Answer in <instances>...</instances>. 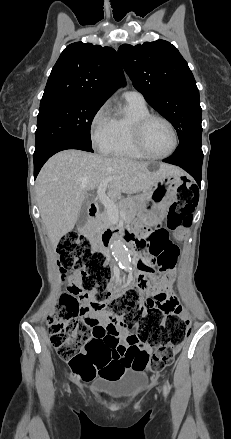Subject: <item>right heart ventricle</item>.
Wrapping results in <instances>:
<instances>
[{
    "label": "right heart ventricle",
    "mask_w": 231,
    "mask_h": 439,
    "mask_svg": "<svg viewBox=\"0 0 231 439\" xmlns=\"http://www.w3.org/2000/svg\"><path fill=\"white\" fill-rule=\"evenodd\" d=\"M149 113L145 102L126 100L124 111L111 117L110 138L100 148L101 152L121 158L147 159L136 147L133 131L135 123Z\"/></svg>",
    "instance_id": "1"
}]
</instances>
